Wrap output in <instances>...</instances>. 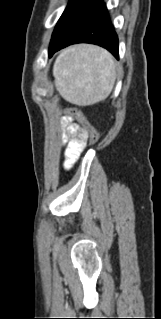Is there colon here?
<instances>
[{
    "mask_svg": "<svg viewBox=\"0 0 161 319\" xmlns=\"http://www.w3.org/2000/svg\"><path fill=\"white\" fill-rule=\"evenodd\" d=\"M68 112L77 119L84 130L83 138L89 145H93L98 140V132L96 128L89 122L81 110L75 107L68 108Z\"/></svg>",
    "mask_w": 161,
    "mask_h": 319,
    "instance_id": "obj_1",
    "label": "colon"
}]
</instances>
